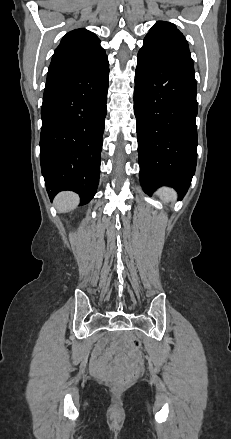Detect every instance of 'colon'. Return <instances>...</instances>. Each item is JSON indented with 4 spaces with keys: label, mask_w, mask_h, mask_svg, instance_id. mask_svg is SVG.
I'll return each mask as SVG.
<instances>
[{
    "label": "colon",
    "mask_w": 231,
    "mask_h": 439,
    "mask_svg": "<svg viewBox=\"0 0 231 439\" xmlns=\"http://www.w3.org/2000/svg\"><path fill=\"white\" fill-rule=\"evenodd\" d=\"M130 346L134 351L138 352L141 350L142 344L138 338H133L130 341ZM135 374H136V371H134L131 374L117 376L116 380H115L116 386H118V387L124 386L125 384H127L131 380V378H133L135 376Z\"/></svg>",
    "instance_id": "5ec220e1"
}]
</instances>
